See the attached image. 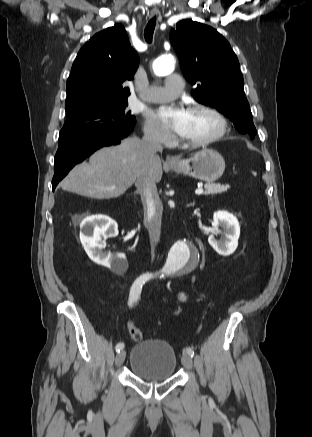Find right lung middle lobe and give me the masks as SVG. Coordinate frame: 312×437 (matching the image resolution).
Returning a JSON list of instances; mask_svg holds the SVG:
<instances>
[{"label":"right lung middle lobe","instance_id":"obj_1","mask_svg":"<svg viewBox=\"0 0 312 437\" xmlns=\"http://www.w3.org/2000/svg\"><path fill=\"white\" fill-rule=\"evenodd\" d=\"M127 105V101L85 102L66 107L67 118L60 132L58 148L132 128L136 119L125 110Z\"/></svg>","mask_w":312,"mask_h":437}]
</instances>
